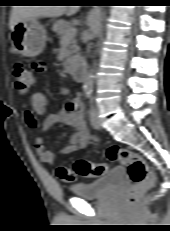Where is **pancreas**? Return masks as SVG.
Here are the masks:
<instances>
[{"mask_svg":"<svg viewBox=\"0 0 170 231\" xmlns=\"http://www.w3.org/2000/svg\"><path fill=\"white\" fill-rule=\"evenodd\" d=\"M71 28H73L72 24L63 19L54 21L52 25V30L55 33H57L62 40L65 34V31ZM78 52H79V47L77 46L75 36H73L69 39V51L67 54L66 65H68L73 58H76L78 56Z\"/></svg>","mask_w":170,"mask_h":231,"instance_id":"1","label":"pancreas"}]
</instances>
